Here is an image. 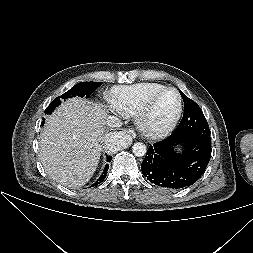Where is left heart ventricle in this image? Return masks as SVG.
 Wrapping results in <instances>:
<instances>
[{"label": "left heart ventricle", "mask_w": 253, "mask_h": 253, "mask_svg": "<svg viewBox=\"0 0 253 253\" xmlns=\"http://www.w3.org/2000/svg\"><path fill=\"white\" fill-rule=\"evenodd\" d=\"M178 99L173 91L161 94L148 112L145 123L151 129H158L166 125L175 115Z\"/></svg>", "instance_id": "1"}]
</instances>
